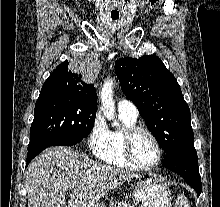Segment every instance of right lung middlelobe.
<instances>
[{"label":"right lung middle lobe","mask_w":220,"mask_h":207,"mask_svg":"<svg viewBox=\"0 0 220 207\" xmlns=\"http://www.w3.org/2000/svg\"><path fill=\"white\" fill-rule=\"evenodd\" d=\"M97 102L63 92H40L30 128L28 149L69 146L87 137L96 117Z\"/></svg>","instance_id":"right-lung-middle-lobe-1"}]
</instances>
